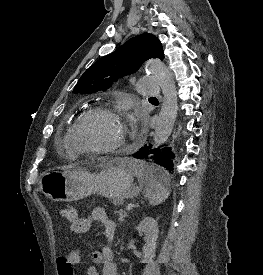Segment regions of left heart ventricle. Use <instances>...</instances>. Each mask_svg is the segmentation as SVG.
Masks as SVG:
<instances>
[{
    "label": "left heart ventricle",
    "mask_w": 263,
    "mask_h": 275,
    "mask_svg": "<svg viewBox=\"0 0 263 275\" xmlns=\"http://www.w3.org/2000/svg\"><path fill=\"white\" fill-rule=\"evenodd\" d=\"M125 130L107 115H95L82 123L78 130V142L88 148H106L116 144Z\"/></svg>",
    "instance_id": "b2bd125f"
}]
</instances>
